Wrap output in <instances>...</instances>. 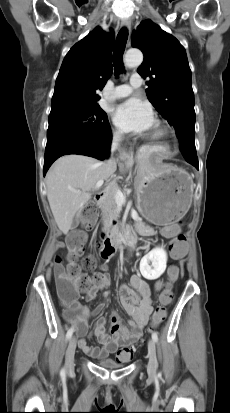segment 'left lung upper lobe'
I'll list each match as a JSON object with an SVG mask.
<instances>
[{
    "mask_svg": "<svg viewBox=\"0 0 230 413\" xmlns=\"http://www.w3.org/2000/svg\"><path fill=\"white\" fill-rule=\"evenodd\" d=\"M132 47L144 54L137 71L149 78L146 89L149 101L173 125L178 138L188 136L194 141L192 74L184 47L149 19L142 21L133 32ZM180 150L196 152L195 144L186 147L180 141Z\"/></svg>",
    "mask_w": 230,
    "mask_h": 413,
    "instance_id": "obj_1",
    "label": "left lung upper lobe"
}]
</instances>
